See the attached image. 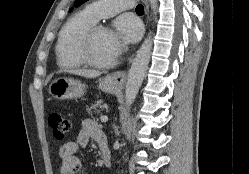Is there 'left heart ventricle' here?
<instances>
[{
	"instance_id": "obj_1",
	"label": "left heart ventricle",
	"mask_w": 249,
	"mask_h": 174,
	"mask_svg": "<svg viewBox=\"0 0 249 174\" xmlns=\"http://www.w3.org/2000/svg\"><path fill=\"white\" fill-rule=\"evenodd\" d=\"M91 54L99 62H111L115 59V44L111 31L96 32L92 41Z\"/></svg>"
}]
</instances>
